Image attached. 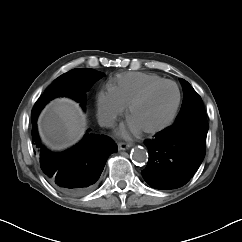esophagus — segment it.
<instances>
[{"mask_svg": "<svg viewBox=\"0 0 242 242\" xmlns=\"http://www.w3.org/2000/svg\"><path fill=\"white\" fill-rule=\"evenodd\" d=\"M131 146H132V144H130V143L120 142L118 144V149L119 150H126V149H129Z\"/></svg>", "mask_w": 242, "mask_h": 242, "instance_id": "1", "label": "esophagus"}]
</instances>
